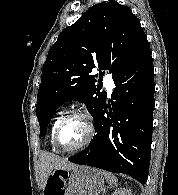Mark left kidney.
I'll return each mask as SVG.
<instances>
[{
    "mask_svg": "<svg viewBox=\"0 0 178 195\" xmlns=\"http://www.w3.org/2000/svg\"><path fill=\"white\" fill-rule=\"evenodd\" d=\"M112 195H133L131 190L126 189V188H118L115 190Z\"/></svg>",
    "mask_w": 178,
    "mask_h": 195,
    "instance_id": "1",
    "label": "left kidney"
}]
</instances>
